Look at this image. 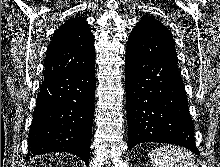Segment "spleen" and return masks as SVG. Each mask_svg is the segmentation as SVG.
<instances>
[{
    "label": "spleen",
    "instance_id": "obj_1",
    "mask_svg": "<svg viewBox=\"0 0 220 167\" xmlns=\"http://www.w3.org/2000/svg\"><path fill=\"white\" fill-rule=\"evenodd\" d=\"M154 167H196L190 152L177 147L166 145L149 152Z\"/></svg>",
    "mask_w": 220,
    "mask_h": 167
}]
</instances>
